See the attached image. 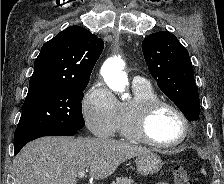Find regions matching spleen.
I'll use <instances>...</instances> for the list:
<instances>
[{"mask_svg":"<svg viewBox=\"0 0 224 184\" xmlns=\"http://www.w3.org/2000/svg\"><path fill=\"white\" fill-rule=\"evenodd\" d=\"M201 172H202L204 175H206V171H205L204 168L201 169Z\"/></svg>","mask_w":224,"mask_h":184,"instance_id":"spleen-1","label":"spleen"}]
</instances>
